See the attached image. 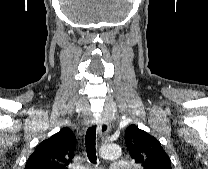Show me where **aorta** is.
Here are the masks:
<instances>
[{
    "label": "aorta",
    "mask_w": 208,
    "mask_h": 169,
    "mask_svg": "<svg viewBox=\"0 0 208 169\" xmlns=\"http://www.w3.org/2000/svg\"><path fill=\"white\" fill-rule=\"evenodd\" d=\"M101 157L107 160L118 159L121 154V148L116 144H104L100 149Z\"/></svg>",
    "instance_id": "obj_1"
}]
</instances>
